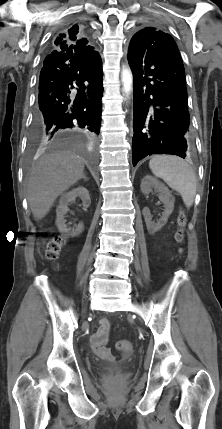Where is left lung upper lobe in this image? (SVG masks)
Masks as SVG:
<instances>
[{
	"label": "left lung upper lobe",
	"instance_id": "left-lung-upper-lobe-1",
	"mask_svg": "<svg viewBox=\"0 0 222 429\" xmlns=\"http://www.w3.org/2000/svg\"><path fill=\"white\" fill-rule=\"evenodd\" d=\"M165 32L154 28V27H146L139 30L131 39L130 45L132 44H141L145 45L148 41H159V38H162ZM155 39V40H154Z\"/></svg>",
	"mask_w": 222,
	"mask_h": 429
}]
</instances>
